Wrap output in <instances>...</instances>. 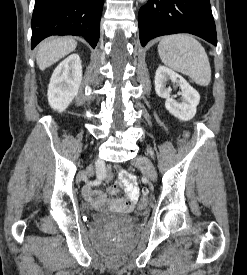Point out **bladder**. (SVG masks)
I'll return each instance as SVG.
<instances>
[{"label":"bladder","mask_w":247,"mask_h":275,"mask_svg":"<svg viewBox=\"0 0 247 275\" xmlns=\"http://www.w3.org/2000/svg\"><path fill=\"white\" fill-rule=\"evenodd\" d=\"M92 220L103 226H126L134 222V217L113 212H93Z\"/></svg>","instance_id":"bladder-1"}]
</instances>
